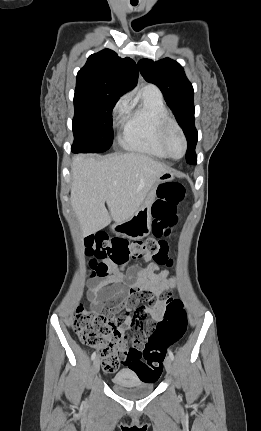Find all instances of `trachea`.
<instances>
[{
	"mask_svg": "<svg viewBox=\"0 0 261 431\" xmlns=\"http://www.w3.org/2000/svg\"><path fill=\"white\" fill-rule=\"evenodd\" d=\"M133 6H136L137 5V3H131Z\"/></svg>",
	"mask_w": 261,
	"mask_h": 431,
	"instance_id": "3493384b",
	"label": "trachea"
}]
</instances>
